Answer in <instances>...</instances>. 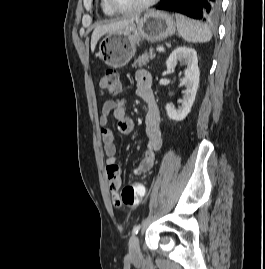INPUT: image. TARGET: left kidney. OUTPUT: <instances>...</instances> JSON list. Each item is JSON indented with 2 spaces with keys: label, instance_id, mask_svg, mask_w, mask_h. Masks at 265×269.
Masks as SVG:
<instances>
[{
  "label": "left kidney",
  "instance_id": "1",
  "mask_svg": "<svg viewBox=\"0 0 265 269\" xmlns=\"http://www.w3.org/2000/svg\"><path fill=\"white\" fill-rule=\"evenodd\" d=\"M177 61H183L187 65L184 78L181 81V85L186 87L183 91V99L181 101V107L175 109L172 105H166V112L170 119L175 121H181L191 111L192 105L195 101L197 89L199 87V68L197 53L194 49L185 46H180L174 49L166 61L168 69L174 70Z\"/></svg>",
  "mask_w": 265,
  "mask_h": 269
}]
</instances>
